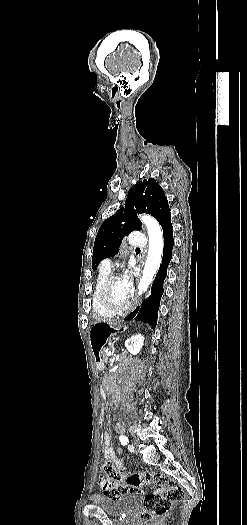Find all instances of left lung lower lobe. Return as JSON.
I'll use <instances>...</instances> for the list:
<instances>
[{
	"label": "left lung lower lobe",
	"mask_w": 247,
	"mask_h": 525,
	"mask_svg": "<svg viewBox=\"0 0 247 525\" xmlns=\"http://www.w3.org/2000/svg\"><path fill=\"white\" fill-rule=\"evenodd\" d=\"M160 225L163 229L164 235L163 261L153 282L151 295L144 300L140 308H137L136 311L127 317V319H132L135 317V320L146 322L153 327H155L157 324V312L159 310L160 300L163 294V282L167 276V268L169 262L171 261L172 248L174 245L171 215L167 216Z\"/></svg>",
	"instance_id": "0a47b994"
}]
</instances>
